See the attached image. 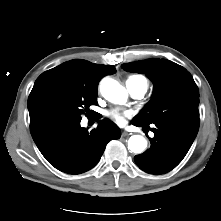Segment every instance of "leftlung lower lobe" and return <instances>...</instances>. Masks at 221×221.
Instances as JSON below:
<instances>
[{"label":"left lung lower lobe","mask_w":221,"mask_h":221,"mask_svg":"<svg viewBox=\"0 0 221 221\" xmlns=\"http://www.w3.org/2000/svg\"><path fill=\"white\" fill-rule=\"evenodd\" d=\"M133 124L150 128L133 120ZM150 130L155 134L149 138L150 149L134 160L138 167L149 174H164L175 168L190 149L199 129V121L163 120L153 123Z\"/></svg>","instance_id":"obj_1"}]
</instances>
